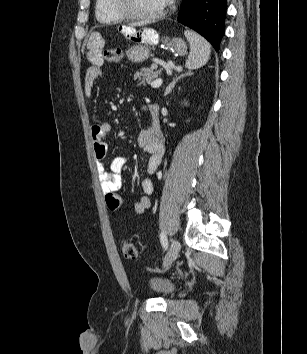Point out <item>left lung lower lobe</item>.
I'll use <instances>...</instances> for the list:
<instances>
[{
  "mask_svg": "<svg viewBox=\"0 0 307 354\" xmlns=\"http://www.w3.org/2000/svg\"><path fill=\"white\" fill-rule=\"evenodd\" d=\"M226 0H183L178 21L205 37L219 50L224 35Z\"/></svg>",
  "mask_w": 307,
  "mask_h": 354,
  "instance_id": "obj_1",
  "label": "left lung lower lobe"
}]
</instances>
